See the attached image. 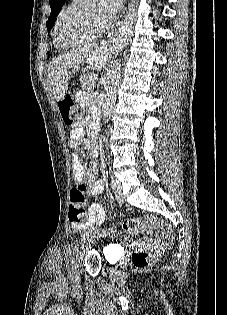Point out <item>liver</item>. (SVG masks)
<instances>
[{
	"label": "liver",
	"mask_w": 227,
	"mask_h": 315,
	"mask_svg": "<svg viewBox=\"0 0 227 315\" xmlns=\"http://www.w3.org/2000/svg\"><path fill=\"white\" fill-rule=\"evenodd\" d=\"M88 54L89 51L85 49L73 50L54 58L49 63L47 79L56 101L63 99L68 89V81L83 65ZM91 55H94L97 64L103 65L106 60V54L103 50H96Z\"/></svg>",
	"instance_id": "6515ba94"
}]
</instances>
